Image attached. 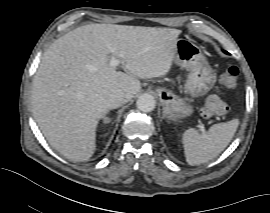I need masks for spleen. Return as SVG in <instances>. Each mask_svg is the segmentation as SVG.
Wrapping results in <instances>:
<instances>
[{
  "instance_id": "spleen-1",
  "label": "spleen",
  "mask_w": 270,
  "mask_h": 213,
  "mask_svg": "<svg viewBox=\"0 0 270 213\" xmlns=\"http://www.w3.org/2000/svg\"><path fill=\"white\" fill-rule=\"evenodd\" d=\"M239 125L238 119L214 124L207 133L190 128L182 137L186 161L200 165L217 157L230 143Z\"/></svg>"
}]
</instances>
